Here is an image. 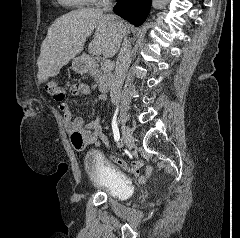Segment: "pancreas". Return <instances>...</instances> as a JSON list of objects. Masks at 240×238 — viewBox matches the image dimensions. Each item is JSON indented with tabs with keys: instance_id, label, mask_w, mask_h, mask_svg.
<instances>
[{
	"instance_id": "obj_1",
	"label": "pancreas",
	"mask_w": 240,
	"mask_h": 238,
	"mask_svg": "<svg viewBox=\"0 0 240 238\" xmlns=\"http://www.w3.org/2000/svg\"><path fill=\"white\" fill-rule=\"evenodd\" d=\"M101 70L103 71V73L105 74L106 71L108 70H103L102 67H101ZM104 74H98L97 76H95L94 80L96 82L97 85H101L102 81H103V75Z\"/></svg>"
}]
</instances>
